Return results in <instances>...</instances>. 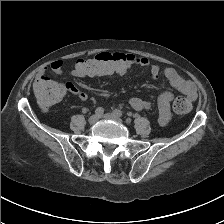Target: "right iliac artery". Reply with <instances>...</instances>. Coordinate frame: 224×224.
I'll return each mask as SVG.
<instances>
[{
	"label": "right iliac artery",
	"instance_id": "obj_1",
	"mask_svg": "<svg viewBox=\"0 0 224 224\" xmlns=\"http://www.w3.org/2000/svg\"><path fill=\"white\" fill-rule=\"evenodd\" d=\"M104 113V109L102 107H98L96 110H95V115L97 116H102Z\"/></svg>",
	"mask_w": 224,
	"mask_h": 224
}]
</instances>
